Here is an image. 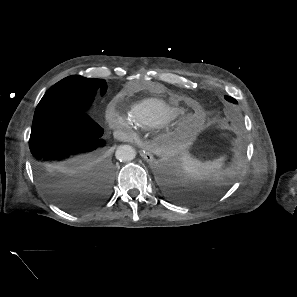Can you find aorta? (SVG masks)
<instances>
[{
	"label": "aorta",
	"instance_id": "aorta-1",
	"mask_svg": "<svg viewBox=\"0 0 297 297\" xmlns=\"http://www.w3.org/2000/svg\"><path fill=\"white\" fill-rule=\"evenodd\" d=\"M136 156V151L130 145L119 146L116 150V158L121 162H129Z\"/></svg>",
	"mask_w": 297,
	"mask_h": 297
}]
</instances>
